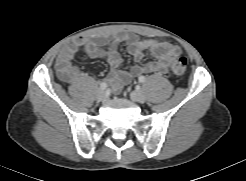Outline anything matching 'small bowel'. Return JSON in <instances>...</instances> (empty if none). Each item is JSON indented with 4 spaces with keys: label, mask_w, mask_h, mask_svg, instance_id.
Wrapping results in <instances>:
<instances>
[{
    "label": "small bowel",
    "mask_w": 246,
    "mask_h": 181,
    "mask_svg": "<svg viewBox=\"0 0 246 181\" xmlns=\"http://www.w3.org/2000/svg\"><path fill=\"white\" fill-rule=\"evenodd\" d=\"M126 43L129 53L137 62L129 71L120 70L122 56L118 45ZM82 49L91 58L105 59L111 67L106 81L115 91H119L132 78L142 74H166L169 63L181 55L178 46L157 39H139L129 32H120L112 36L77 37L69 41L60 51L56 60V70L61 79L74 81L80 73L73 65V58ZM152 53L154 59L141 63L145 53Z\"/></svg>",
    "instance_id": "1"
}]
</instances>
